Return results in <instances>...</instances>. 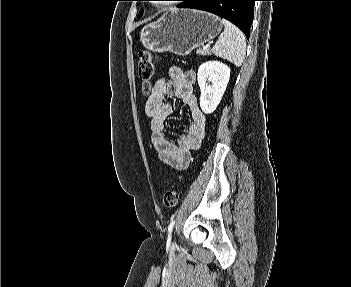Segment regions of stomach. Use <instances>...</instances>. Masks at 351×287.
Returning a JSON list of instances; mask_svg holds the SVG:
<instances>
[{"label": "stomach", "instance_id": "obj_1", "mask_svg": "<svg viewBox=\"0 0 351 287\" xmlns=\"http://www.w3.org/2000/svg\"><path fill=\"white\" fill-rule=\"evenodd\" d=\"M219 17L195 9L170 10L140 32L142 45L153 52L185 56L222 30Z\"/></svg>", "mask_w": 351, "mask_h": 287}]
</instances>
